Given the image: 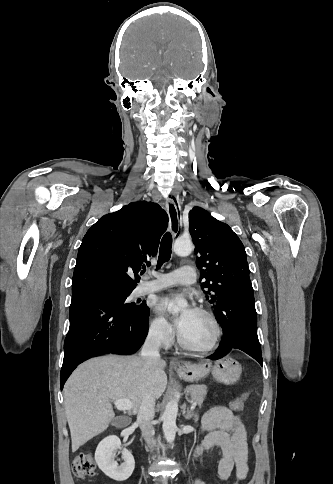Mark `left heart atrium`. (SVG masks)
<instances>
[{
    "label": "left heart atrium",
    "instance_id": "1",
    "mask_svg": "<svg viewBox=\"0 0 333 484\" xmlns=\"http://www.w3.org/2000/svg\"><path fill=\"white\" fill-rule=\"evenodd\" d=\"M175 302V297L174 296H167L163 299H161L158 304L157 308L159 311L168 313L170 309L172 308L173 304ZM194 310L192 308H187L183 312H181L179 315L174 317V322L177 327V329L180 331L181 328L183 327L184 323L188 319V317L191 315V313Z\"/></svg>",
    "mask_w": 333,
    "mask_h": 484
}]
</instances>
